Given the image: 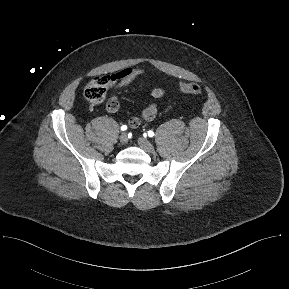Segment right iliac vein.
<instances>
[{"label":"right iliac vein","instance_id":"1","mask_svg":"<svg viewBox=\"0 0 289 289\" xmlns=\"http://www.w3.org/2000/svg\"><path fill=\"white\" fill-rule=\"evenodd\" d=\"M119 140L122 144H125L128 142V135L127 133L123 132L120 137H119Z\"/></svg>","mask_w":289,"mask_h":289}]
</instances>
